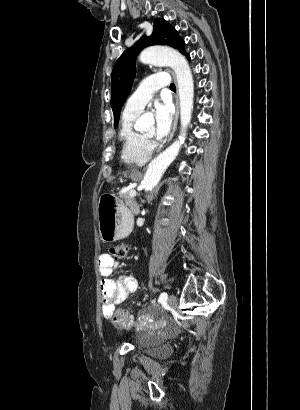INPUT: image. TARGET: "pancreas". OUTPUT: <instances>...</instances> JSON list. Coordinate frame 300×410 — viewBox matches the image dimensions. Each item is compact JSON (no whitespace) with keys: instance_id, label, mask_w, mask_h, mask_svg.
Instances as JSON below:
<instances>
[{"instance_id":"obj_1","label":"pancreas","mask_w":300,"mask_h":410,"mask_svg":"<svg viewBox=\"0 0 300 410\" xmlns=\"http://www.w3.org/2000/svg\"><path fill=\"white\" fill-rule=\"evenodd\" d=\"M130 191H131V190H128L127 192H125L124 194H122V195H121V198L124 200L126 206H128V207L130 208L131 212H132L134 215H138V214H139V206H138V204H137L135 198H134V197H131V196L129 195V192H130Z\"/></svg>"}]
</instances>
